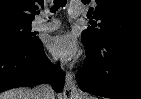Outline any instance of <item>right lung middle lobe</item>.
<instances>
[{
  "label": "right lung middle lobe",
  "instance_id": "obj_1",
  "mask_svg": "<svg viewBox=\"0 0 141 99\" xmlns=\"http://www.w3.org/2000/svg\"><path fill=\"white\" fill-rule=\"evenodd\" d=\"M31 32V21L0 22V43L29 44L38 41Z\"/></svg>",
  "mask_w": 141,
  "mask_h": 99
}]
</instances>
